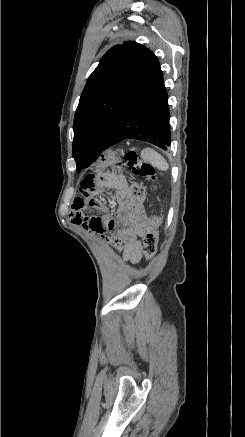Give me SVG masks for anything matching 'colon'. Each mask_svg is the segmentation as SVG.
Listing matches in <instances>:
<instances>
[{
    "label": "colon",
    "mask_w": 245,
    "mask_h": 437,
    "mask_svg": "<svg viewBox=\"0 0 245 437\" xmlns=\"http://www.w3.org/2000/svg\"><path fill=\"white\" fill-rule=\"evenodd\" d=\"M128 167L137 175L146 178L149 181L155 179V169L151 165L141 161L135 151H127L124 154ZM145 199V189L142 185L133 184L130 186V202L133 207L143 203ZM160 217L152 215L149 218V224L143 237V253L147 260L152 259L157 252L159 238Z\"/></svg>",
    "instance_id": "5ec220e1"
}]
</instances>
